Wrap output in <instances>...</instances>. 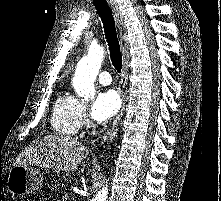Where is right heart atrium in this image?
I'll return each mask as SVG.
<instances>
[{
    "label": "right heart atrium",
    "mask_w": 221,
    "mask_h": 201,
    "mask_svg": "<svg viewBox=\"0 0 221 201\" xmlns=\"http://www.w3.org/2000/svg\"><path fill=\"white\" fill-rule=\"evenodd\" d=\"M79 116L80 119H83L85 117V107L82 103L79 104Z\"/></svg>",
    "instance_id": "obj_1"
}]
</instances>
